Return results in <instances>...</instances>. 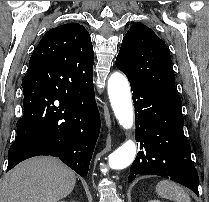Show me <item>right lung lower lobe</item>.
Returning a JSON list of instances; mask_svg holds the SVG:
<instances>
[{
    "label": "right lung lower lobe",
    "mask_w": 209,
    "mask_h": 202,
    "mask_svg": "<svg viewBox=\"0 0 209 202\" xmlns=\"http://www.w3.org/2000/svg\"><path fill=\"white\" fill-rule=\"evenodd\" d=\"M22 88L24 111L7 170L27 158L52 155L85 177L100 129L93 83L64 87L48 71L28 68Z\"/></svg>",
    "instance_id": "1"
}]
</instances>
